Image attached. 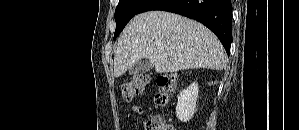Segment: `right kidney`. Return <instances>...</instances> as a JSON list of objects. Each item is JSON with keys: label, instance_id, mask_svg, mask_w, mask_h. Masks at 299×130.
Masks as SVG:
<instances>
[{"label": "right kidney", "instance_id": "ca27d5eb", "mask_svg": "<svg viewBox=\"0 0 299 130\" xmlns=\"http://www.w3.org/2000/svg\"><path fill=\"white\" fill-rule=\"evenodd\" d=\"M198 93L197 83H192L187 89L180 92L176 106V116L182 122H187L193 117L196 111Z\"/></svg>", "mask_w": 299, "mask_h": 130}]
</instances>
